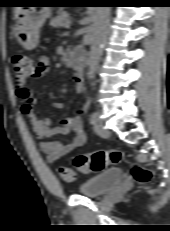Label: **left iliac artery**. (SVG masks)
Masks as SVG:
<instances>
[{"label":"left iliac artery","instance_id":"left-iliac-artery-1","mask_svg":"<svg viewBox=\"0 0 170 231\" xmlns=\"http://www.w3.org/2000/svg\"><path fill=\"white\" fill-rule=\"evenodd\" d=\"M98 120V115L96 113H92L90 118V124H95V122Z\"/></svg>","mask_w":170,"mask_h":231}]
</instances>
